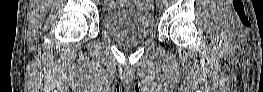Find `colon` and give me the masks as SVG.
Returning <instances> with one entry per match:
<instances>
[{"mask_svg":"<svg viewBox=\"0 0 263 92\" xmlns=\"http://www.w3.org/2000/svg\"><path fill=\"white\" fill-rule=\"evenodd\" d=\"M143 2H145V3H147V4H151L153 1L148 0V1H143ZM111 4H112V3H111Z\"/></svg>","mask_w":263,"mask_h":92,"instance_id":"1","label":"colon"}]
</instances>
